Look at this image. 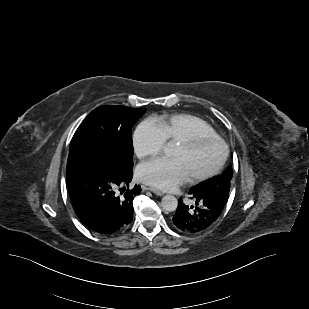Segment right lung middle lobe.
<instances>
[{"instance_id": "1", "label": "right lung middle lobe", "mask_w": 309, "mask_h": 309, "mask_svg": "<svg viewBox=\"0 0 309 309\" xmlns=\"http://www.w3.org/2000/svg\"><path fill=\"white\" fill-rule=\"evenodd\" d=\"M145 111V108L112 105L96 108L76 130L70 142L69 155L93 152L112 159L121 166H132L131 128Z\"/></svg>"}]
</instances>
